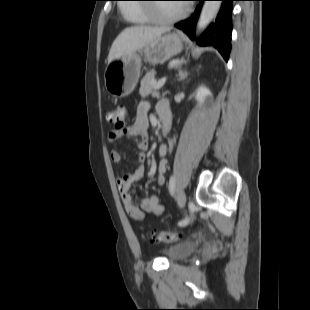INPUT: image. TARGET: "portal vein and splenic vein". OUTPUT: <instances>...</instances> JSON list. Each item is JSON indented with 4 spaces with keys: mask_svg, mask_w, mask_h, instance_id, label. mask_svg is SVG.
<instances>
[{
    "mask_svg": "<svg viewBox=\"0 0 310 310\" xmlns=\"http://www.w3.org/2000/svg\"><path fill=\"white\" fill-rule=\"evenodd\" d=\"M166 79L167 78H162V79H160L159 81H158V83L156 84V88L157 89H160L161 87H163L164 86V84H165V82H166Z\"/></svg>",
    "mask_w": 310,
    "mask_h": 310,
    "instance_id": "1",
    "label": "portal vein and splenic vein"
}]
</instances>
